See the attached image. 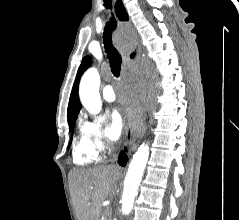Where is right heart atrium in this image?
<instances>
[{"mask_svg": "<svg viewBox=\"0 0 239 220\" xmlns=\"http://www.w3.org/2000/svg\"><path fill=\"white\" fill-rule=\"evenodd\" d=\"M81 135L98 156L107 153L112 148V144L105 136L103 120L100 117L84 118L81 123Z\"/></svg>", "mask_w": 239, "mask_h": 220, "instance_id": "d8ad5b80", "label": "right heart atrium"}]
</instances>
